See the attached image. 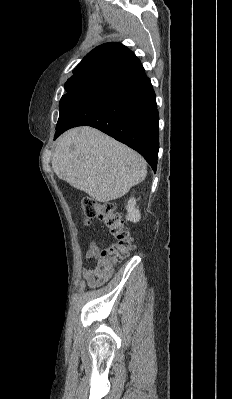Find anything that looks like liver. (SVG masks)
<instances>
[{
	"label": "liver",
	"instance_id": "1",
	"mask_svg": "<svg viewBox=\"0 0 232 399\" xmlns=\"http://www.w3.org/2000/svg\"><path fill=\"white\" fill-rule=\"evenodd\" d=\"M144 158L95 128L62 134L52 156V170L76 190L97 201L117 200L147 176Z\"/></svg>",
	"mask_w": 232,
	"mask_h": 399
}]
</instances>
